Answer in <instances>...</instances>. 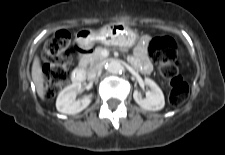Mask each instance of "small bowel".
<instances>
[{"mask_svg": "<svg viewBox=\"0 0 225 155\" xmlns=\"http://www.w3.org/2000/svg\"><path fill=\"white\" fill-rule=\"evenodd\" d=\"M148 39L143 38L135 47L131 62L142 73L148 74L152 71V63L147 56Z\"/></svg>", "mask_w": 225, "mask_h": 155, "instance_id": "obj_1", "label": "small bowel"}]
</instances>
